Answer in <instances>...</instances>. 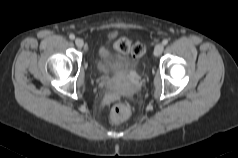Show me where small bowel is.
I'll return each instance as SVG.
<instances>
[{
	"label": "small bowel",
	"mask_w": 238,
	"mask_h": 158,
	"mask_svg": "<svg viewBox=\"0 0 238 158\" xmlns=\"http://www.w3.org/2000/svg\"><path fill=\"white\" fill-rule=\"evenodd\" d=\"M102 55L107 56V55H109V53L107 51L103 50Z\"/></svg>",
	"instance_id": "c3829d8e"
}]
</instances>
